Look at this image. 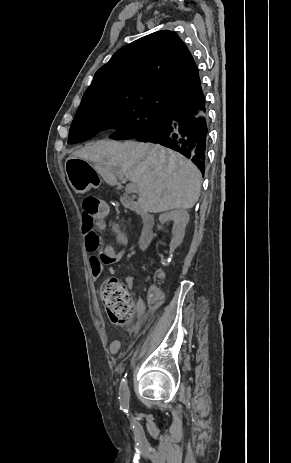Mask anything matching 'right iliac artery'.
<instances>
[{"instance_id":"obj_1","label":"right iliac artery","mask_w":291,"mask_h":463,"mask_svg":"<svg viewBox=\"0 0 291 463\" xmlns=\"http://www.w3.org/2000/svg\"><path fill=\"white\" fill-rule=\"evenodd\" d=\"M124 377H126V375ZM129 397H130V393H129V389L127 385V380L123 378L121 381V385H120L119 399H120V408L126 413L128 412V408H129Z\"/></svg>"}]
</instances>
